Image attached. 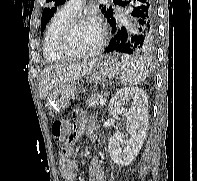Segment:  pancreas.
I'll use <instances>...</instances> for the list:
<instances>
[{
    "mask_svg": "<svg viewBox=\"0 0 197 181\" xmlns=\"http://www.w3.org/2000/svg\"><path fill=\"white\" fill-rule=\"evenodd\" d=\"M103 98L102 94H93L88 100L87 104L89 107H98L100 104V100Z\"/></svg>",
    "mask_w": 197,
    "mask_h": 181,
    "instance_id": "obj_1",
    "label": "pancreas"
}]
</instances>
